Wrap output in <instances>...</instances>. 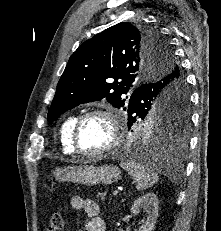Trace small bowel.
<instances>
[{
  "label": "small bowel",
  "mask_w": 221,
  "mask_h": 231,
  "mask_svg": "<svg viewBox=\"0 0 221 231\" xmlns=\"http://www.w3.org/2000/svg\"><path fill=\"white\" fill-rule=\"evenodd\" d=\"M70 206L75 210H84L87 216L85 222L87 231H107L105 221L99 216V205L95 201L74 195L70 198Z\"/></svg>",
  "instance_id": "small-bowel-1"
}]
</instances>
